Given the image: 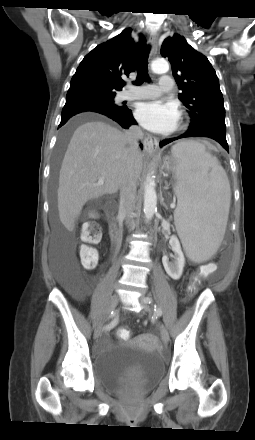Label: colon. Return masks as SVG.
Masks as SVG:
<instances>
[{"label": "colon", "mask_w": 255, "mask_h": 440, "mask_svg": "<svg viewBox=\"0 0 255 440\" xmlns=\"http://www.w3.org/2000/svg\"><path fill=\"white\" fill-rule=\"evenodd\" d=\"M81 237L86 243L80 249V256L84 267L92 269L96 266L98 261V250L93 246L100 238V230L95 224H87L84 226ZM198 288L196 283L187 291V295L192 296ZM117 336L122 340H127L131 336V332L127 328H120L117 331Z\"/></svg>", "instance_id": "5ec220e1"}]
</instances>
